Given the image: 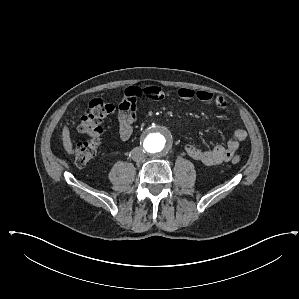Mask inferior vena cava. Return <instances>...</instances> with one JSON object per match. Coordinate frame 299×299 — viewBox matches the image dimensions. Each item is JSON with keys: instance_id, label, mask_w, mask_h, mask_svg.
<instances>
[{"instance_id": "602c4592", "label": "inferior vena cava", "mask_w": 299, "mask_h": 299, "mask_svg": "<svg viewBox=\"0 0 299 299\" xmlns=\"http://www.w3.org/2000/svg\"><path fill=\"white\" fill-rule=\"evenodd\" d=\"M132 159L139 163V162H142L145 158V152L142 148L140 147H135L133 150H132Z\"/></svg>"}]
</instances>
